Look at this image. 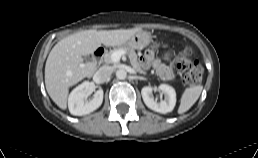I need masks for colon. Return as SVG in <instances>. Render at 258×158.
<instances>
[{"label":"colon","mask_w":258,"mask_h":158,"mask_svg":"<svg viewBox=\"0 0 258 158\" xmlns=\"http://www.w3.org/2000/svg\"><path fill=\"white\" fill-rule=\"evenodd\" d=\"M192 50L185 47L183 50L175 53L172 58V66L177 72L183 73L182 82L184 85H196L202 78V65L197 60L191 59Z\"/></svg>","instance_id":"colon-1"}]
</instances>
